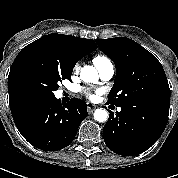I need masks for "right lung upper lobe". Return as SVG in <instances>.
<instances>
[{"label": "right lung upper lobe", "mask_w": 178, "mask_h": 178, "mask_svg": "<svg viewBox=\"0 0 178 178\" xmlns=\"http://www.w3.org/2000/svg\"><path fill=\"white\" fill-rule=\"evenodd\" d=\"M96 49L97 46L92 39L63 34H49L25 46L18 53L16 59L27 53L40 52L51 55L59 63L73 68L81 58ZM13 97L9 93V99Z\"/></svg>", "instance_id": "cb5924a9"}]
</instances>
